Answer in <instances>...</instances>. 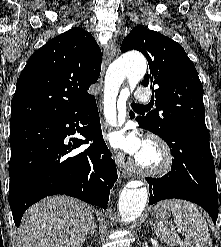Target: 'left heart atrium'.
<instances>
[{"mask_svg": "<svg viewBox=\"0 0 221 247\" xmlns=\"http://www.w3.org/2000/svg\"><path fill=\"white\" fill-rule=\"evenodd\" d=\"M110 144L132 155L138 156L141 152L144 142L135 132L126 133L123 130L111 132L108 135Z\"/></svg>", "mask_w": 221, "mask_h": 247, "instance_id": "left-heart-atrium-1", "label": "left heart atrium"}]
</instances>
